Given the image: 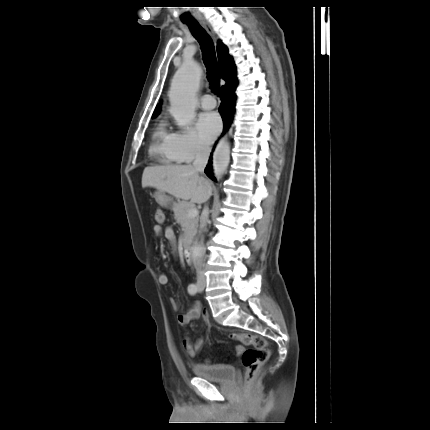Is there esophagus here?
I'll list each match as a JSON object with an SVG mask.
<instances>
[{"instance_id":"obj_1","label":"esophagus","mask_w":430,"mask_h":430,"mask_svg":"<svg viewBox=\"0 0 430 430\" xmlns=\"http://www.w3.org/2000/svg\"><path fill=\"white\" fill-rule=\"evenodd\" d=\"M203 26H204V28L206 29V31L211 35V36H215V34H214V31H213V29H212V27L208 24V23H206V22H204L203 23Z\"/></svg>"}]
</instances>
